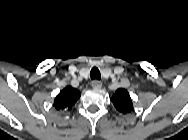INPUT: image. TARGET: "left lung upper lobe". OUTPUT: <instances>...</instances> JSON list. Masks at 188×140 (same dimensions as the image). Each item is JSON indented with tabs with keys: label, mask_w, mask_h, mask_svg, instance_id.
Instances as JSON below:
<instances>
[{
	"label": "left lung upper lobe",
	"mask_w": 188,
	"mask_h": 140,
	"mask_svg": "<svg viewBox=\"0 0 188 140\" xmlns=\"http://www.w3.org/2000/svg\"><path fill=\"white\" fill-rule=\"evenodd\" d=\"M111 101L115 108L123 114L130 113L133 110V103L129 93L125 89H118L112 96Z\"/></svg>",
	"instance_id": "1"
}]
</instances>
